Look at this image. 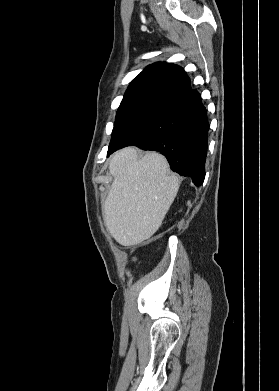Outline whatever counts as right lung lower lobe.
<instances>
[{"mask_svg":"<svg viewBox=\"0 0 279 391\" xmlns=\"http://www.w3.org/2000/svg\"><path fill=\"white\" fill-rule=\"evenodd\" d=\"M208 130L200 94L191 90L166 104L147 128L118 149L134 145L161 152L173 171L200 186L205 178Z\"/></svg>","mask_w":279,"mask_h":391,"instance_id":"obj_1","label":"right lung lower lobe"}]
</instances>
